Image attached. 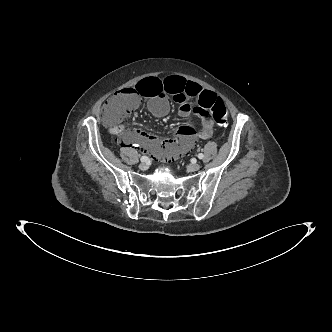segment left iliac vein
Wrapping results in <instances>:
<instances>
[{"mask_svg": "<svg viewBox=\"0 0 332 332\" xmlns=\"http://www.w3.org/2000/svg\"><path fill=\"white\" fill-rule=\"evenodd\" d=\"M201 168L200 164L198 163H192L187 166V169L191 172L198 171Z\"/></svg>", "mask_w": 332, "mask_h": 332, "instance_id": "left-iliac-vein-1", "label": "left iliac vein"}]
</instances>
